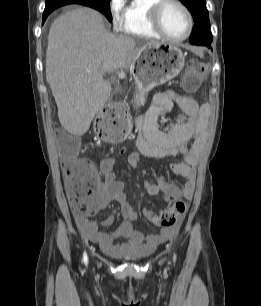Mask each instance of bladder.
Wrapping results in <instances>:
<instances>
[{
    "mask_svg": "<svg viewBox=\"0 0 261 306\" xmlns=\"http://www.w3.org/2000/svg\"><path fill=\"white\" fill-rule=\"evenodd\" d=\"M121 258L129 262H138L143 260L144 256L140 254L129 253L122 255Z\"/></svg>",
    "mask_w": 261,
    "mask_h": 306,
    "instance_id": "31cf9c89",
    "label": "bladder"
}]
</instances>
